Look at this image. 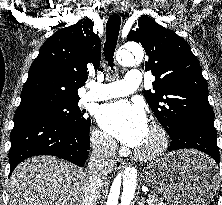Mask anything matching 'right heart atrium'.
<instances>
[{
    "label": "right heart atrium",
    "mask_w": 222,
    "mask_h": 205,
    "mask_svg": "<svg viewBox=\"0 0 222 205\" xmlns=\"http://www.w3.org/2000/svg\"><path fill=\"white\" fill-rule=\"evenodd\" d=\"M91 142L99 153L110 156L114 151V143L111 138L102 130L95 129L91 135Z\"/></svg>",
    "instance_id": "d8ad5b80"
}]
</instances>
